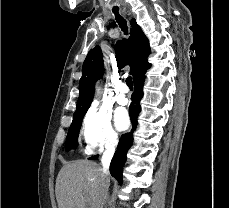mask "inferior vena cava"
<instances>
[{"mask_svg": "<svg viewBox=\"0 0 229 208\" xmlns=\"http://www.w3.org/2000/svg\"><path fill=\"white\" fill-rule=\"evenodd\" d=\"M113 154H114V150L113 148H108V150H106V152H104L103 156H102V160H101V164H102V168H101V178H106L107 182H103V184H101V206L100 208H103V204H105L106 202V196H107V190H108V186H109V166H110V162L113 158Z\"/></svg>", "mask_w": 229, "mask_h": 208, "instance_id": "obj_1", "label": "inferior vena cava"}]
</instances>
